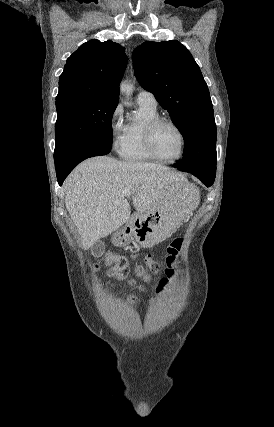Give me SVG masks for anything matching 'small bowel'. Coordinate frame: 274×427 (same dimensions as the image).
<instances>
[{
  "label": "small bowel",
  "instance_id": "obj_1",
  "mask_svg": "<svg viewBox=\"0 0 274 427\" xmlns=\"http://www.w3.org/2000/svg\"><path fill=\"white\" fill-rule=\"evenodd\" d=\"M183 246H178L177 244H170L168 247H167V250L170 252L167 256H166V259L169 261V262H172L174 259H175V256L172 254V253H177L178 251H183ZM172 270L173 271H176L177 270V267L176 266H173L172 267ZM172 270H167L166 271V276L167 277H172L173 276V271ZM168 283H169V280L167 279V278H163L160 282H159V284H158V286L156 287V289H155V291L149 296V298L147 299V301H146V303H145V306L146 307H148V306H150V305H152V304H154L155 302H158V301H160L162 298H164L165 297V295H166V287L168 286Z\"/></svg>",
  "mask_w": 274,
  "mask_h": 427
}]
</instances>
